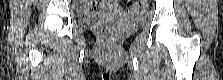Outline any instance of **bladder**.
I'll return each instance as SVG.
<instances>
[{"mask_svg": "<svg viewBox=\"0 0 223 80\" xmlns=\"http://www.w3.org/2000/svg\"><path fill=\"white\" fill-rule=\"evenodd\" d=\"M108 17H120L121 18L122 15L117 13L116 9H106L104 12L84 17L83 21L85 23H88L90 21H94L99 18H108Z\"/></svg>", "mask_w": 223, "mask_h": 80, "instance_id": "bladder-1", "label": "bladder"}]
</instances>
